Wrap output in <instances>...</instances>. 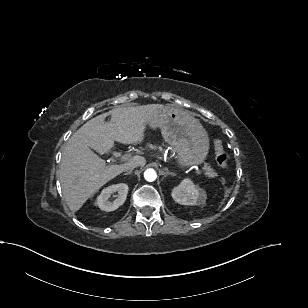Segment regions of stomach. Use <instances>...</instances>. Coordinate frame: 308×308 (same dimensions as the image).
<instances>
[{"label": "stomach", "instance_id": "1", "mask_svg": "<svg viewBox=\"0 0 308 308\" xmlns=\"http://www.w3.org/2000/svg\"><path fill=\"white\" fill-rule=\"evenodd\" d=\"M150 128L159 127L165 141L178 156L182 167L199 165L209 151V137L201 123L187 112L166 107L155 112L146 122Z\"/></svg>", "mask_w": 308, "mask_h": 308}]
</instances>
